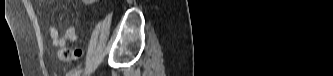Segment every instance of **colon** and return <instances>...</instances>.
<instances>
[{
  "label": "colon",
  "mask_w": 333,
  "mask_h": 76,
  "mask_svg": "<svg viewBox=\"0 0 333 76\" xmlns=\"http://www.w3.org/2000/svg\"><path fill=\"white\" fill-rule=\"evenodd\" d=\"M82 51L81 50H70V49H66L63 48L61 50H59V58L60 60L64 61V62H70L75 60L76 58H78L81 55Z\"/></svg>",
  "instance_id": "1"
}]
</instances>
